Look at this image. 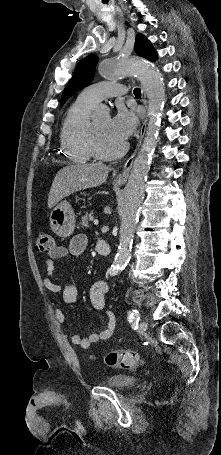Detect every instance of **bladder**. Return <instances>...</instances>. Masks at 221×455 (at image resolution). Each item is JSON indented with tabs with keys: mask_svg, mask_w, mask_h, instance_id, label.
<instances>
[{
	"mask_svg": "<svg viewBox=\"0 0 221 455\" xmlns=\"http://www.w3.org/2000/svg\"><path fill=\"white\" fill-rule=\"evenodd\" d=\"M136 383V378L129 374H113L105 380V385L115 389H127Z\"/></svg>",
	"mask_w": 221,
	"mask_h": 455,
	"instance_id": "bladder-1",
	"label": "bladder"
}]
</instances>
